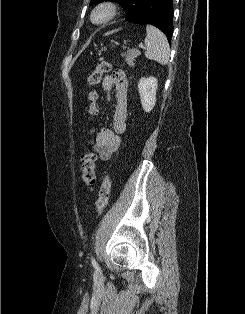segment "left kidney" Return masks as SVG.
Instances as JSON below:
<instances>
[{
    "instance_id": "obj_1",
    "label": "left kidney",
    "mask_w": 245,
    "mask_h": 314,
    "mask_svg": "<svg viewBox=\"0 0 245 314\" xmlns=\"http://www.w3.org/2000/svg\"><path fill=\"white\" fill-rule=\"evenodd\" d=\"M158 89V81L155 77H143L138 83L141 104L146 112H150L156 103V91Z\"/></svg>"
}]
</instances>
